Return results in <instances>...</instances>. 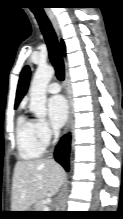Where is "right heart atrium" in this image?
Wrapping results in <instances>:
<instances>
[{
	"mask_svg": "<svg viewBox=\"0 0 123 219\" xmlns=\"http://www.w3.org/2000/svg\"><path fill=\"white\" fill-rule=\"evenodd\" d=\"M38 135L44 145H47L55 135V131L45 119H37L35 121Z\"/></svg>",
	"mask_w": 123,
	"mask_h": 219,
	"instance_id": "1",
	"label": "right heart atrium"
}]
</instances>
